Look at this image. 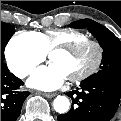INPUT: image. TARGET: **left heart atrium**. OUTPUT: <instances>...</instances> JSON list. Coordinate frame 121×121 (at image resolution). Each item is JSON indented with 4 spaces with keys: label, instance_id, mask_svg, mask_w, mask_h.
<instances>
[{
    "label": "left heart atrium",
    "instance_id": "1",
    "mask_svg": "<svg viewBox=\"0 0 121 121\" xmlns=\"http://www.w3.org/2000/svg\"><path fill=\"white\" fill-rule=\"evenodd\" d=\"M65 74L54 64L39 67L30 79V84L43 90H55L65 81Z\"/></svg>",
    "mask_w": 121,
    "mask_h": 121
}]
</instances>
